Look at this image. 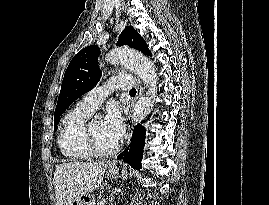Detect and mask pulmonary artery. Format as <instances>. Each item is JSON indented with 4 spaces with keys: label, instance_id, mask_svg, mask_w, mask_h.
Instances as JSON below:
<instances>
[{
    "label": "pulmonary artery",
    "instance_id": "pulmonary-artery-1",
    "mask_svg": "<svg viewBox=\"0 0 269 205\" xmlns=\"http://www.w3.org/2000/svg\"><path fill=\"white\" fill-rule=\"evenodd\" d=\"M135 86V79L131 75L118 76L109 79L104 85L95 88L87 93L78 105L90 112H94L97 107L117 88L131 89Z\"/></svg>",
    "mask_w": 269,
    "mask_h": 205
}]
</instances>
